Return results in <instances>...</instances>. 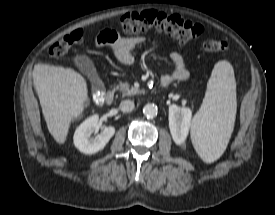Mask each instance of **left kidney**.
Here are the masks:
<instances>
[{"mask_svg": "<svg viewBox=\"0 0 275 215\" xmlns=\"http://www.w3.org/2000/svg\"><path fill=\"white\" fill-rule=\"evenodd\" d=\"M192 111L186 107L171 105L169 107V128L174 142L182 144L188 135Z\"/></svg>", "mask_w": 275, "mask_h": 215, "instance_id": "left-kidney-1", "label": "left kidney"}]
</instances>
